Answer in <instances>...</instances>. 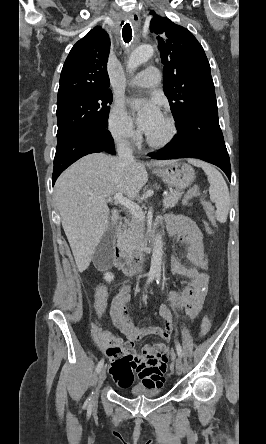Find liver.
Returning <instances> with one entry per match:
<instances>
[{
  "label": "liver",
  "instance_id": "6515ba94",
  "mask_svg": "<svg viewBox=\"0 0 266 444\" xmlns=\"http://www.w3.org/2000/svg\"><path fill=\"white\" fill-rule=\"evenodd\" d=\"M172 162L161 160L154 165ZM147 181L148 174L142 162L103 153L84 156L60 175L55 184V199L80 272L89 267L110 221L115 224L118 219L117 210L110 215L107 198L118 192L134 198Z\"/></svg>",
  "mask_w": 266,
  "mask_h": 444
}]
</instances>
